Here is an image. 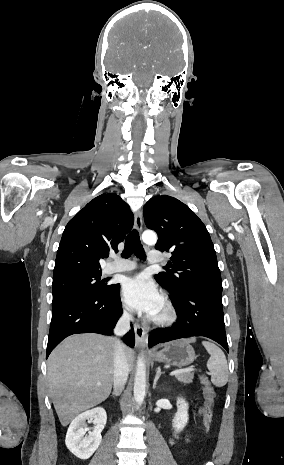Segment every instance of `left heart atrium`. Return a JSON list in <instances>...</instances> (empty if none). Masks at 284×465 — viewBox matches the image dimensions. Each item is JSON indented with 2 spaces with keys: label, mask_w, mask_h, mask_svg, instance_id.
<instances>
[{
  "label": "left heart atrium",
  "mask_w": 284,
  "mask_h": 465,
  "mask_svg": "<svg viewBox=\"0 0 284 465\" xmlns=\"http://www.w3.org/2000/svg\"><path fill=\"white\" fill-rule=\"evenodd\" d=\"M124 304L131 310L153 315L162 304V294L145 275L128 279L121 292Z\"/></svg>",
  "instance_id": "39dd6f15"
}]
</instances>
